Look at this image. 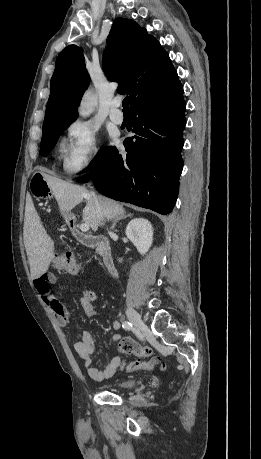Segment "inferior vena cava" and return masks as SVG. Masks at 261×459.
<instances>
[{
	"label": "inferior vena cava",
	"instance_id": "obj_1",
	"mask_svg": "<svg viewBox=\"0 0 261 459\" xmlns=\"http://www.w3.org/2000/svg\"><path fill=\"white\" fill-rule=\"evenodd\" d=\"M92 195H93V199H94V201H95V203H96L97 212H98V213L100 214V216L102 217L101 208H100V205H99L97 196L95 195L94 192H92Z\"/></svg>",
	"mask_w": 261,
	"mask_h": 459
}]
</instances>
